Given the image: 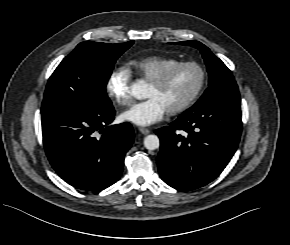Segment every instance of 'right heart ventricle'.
<instances>
[{
    "mask_svg": "<svg viewBox=\"0 0 290 245\" xmlns=\"http://www.w3.org/2000/svg\"><path fill=\"white\" fill-rule=\"evenodd\" d=\"M178 62L180 61L173 57L154 55L130 60L127 63V69L137 77L150 81L164 69Z\"/></svg>",
    "mask_w": 290,
    "mask_h": 245,
    "instance_id": "obj_1",
    "label": "right heart ventricle"
}]
</instances>
